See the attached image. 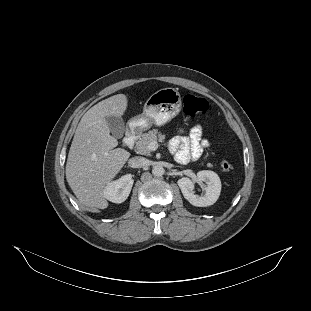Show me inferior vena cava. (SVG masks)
Returning <instances> with one entry per match:
<instances>
[{
    "label": "inferior vena cava",
    "instance_id": "1",
    "mask_svg": "<svg viewBox=\"0 0 311 311\" xmlns=\"http://www.w3.org/2000/svg\"><path fill=\"white\" fill-rule=\"evenodd\" d=\"M148 159L140 156L132 157L128 160V165L132 168H142L148 165Z\"/></svg>",
    "mask_w": 311,
    "mask_h": 311
}]
</instances>
